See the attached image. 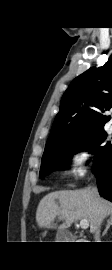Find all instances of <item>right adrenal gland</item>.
Here are the masks:
<instances>
[{
  "instance_id": "right-adrenal-gland-1",
  "label": "right adrenal gland",
  "mask_w": 112,
  "mask_h": 270,
  "mask_svg": "<svg viewBox=\"0 0 112 270\" xmlns=\"http://www.w3.org/2000/svg\"><path fill=\"white\" fill-rule=\"evenodd\" d=\"M112 225V214L110 215L109 219L107 220V225L106 228L103 232V236H105L107 234L108 229L110 228V226Z\"/></svg>"
}]
</instances>
